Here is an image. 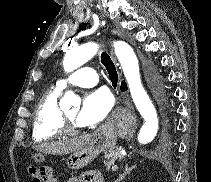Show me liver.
<instances>
[{
    "label": "liver",
    "mask_w": 211,
    "mask_h": 182,
    "mask_svg": "<svg viewBox=\"0 0 211 182\" xmlns=\"http://www.w3.org/2000/svg\"><path fill=\"white\" fill-rule=\"evenodd\" d=\"M93 134H87L84 136L67 139L63 141L47 142L42 143L34 147L36 151L53 154V155H64L72 152H76L83 148L88 141L91 139Z\"/></svg>",
    "instance_id": "6515ba94"
}]
</instances>
